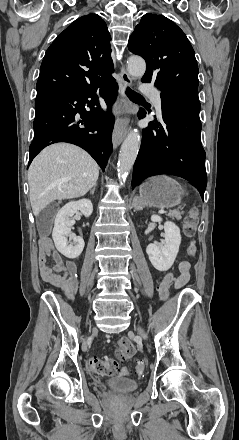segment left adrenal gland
<instances>
[{
  "label": "left adrenal gland",
  "mask_w": 239,
  "mask_h": 440,
  "mask_svg": "<svg viewBox=\"0 0 239 440\" xmlns=\"http://www.w3.org/2000/svg\"><path fill=\"white\" fill-rule=\"evenodd\" d=\"M132 206H133V208H136V210H140V208H139L138 204H136V202H133Z\"/></svg>",
  "instance_id": "left-adrenal-gland-1"
}]
</instances>
